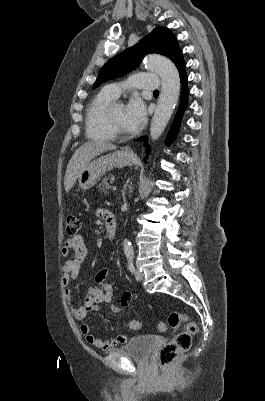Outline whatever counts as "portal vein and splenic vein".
<instances>
[{"mask_svg":"<svg viewBox=\"0 0 265 401\" xmlns=\"http://www.w3.org/2000/svg\"><path fill=\"white\" fill-rule=\"evenodd\" d=\"M111 190H112V191H116V190H117V185H116V184H113L112 187H111Z\"/></svg>","mask_w":265,"mask_h":401,"instance_id":"portal-vein-and-splenic-vein-1","label":"portal vein and splenic vein"}]
</instances>
